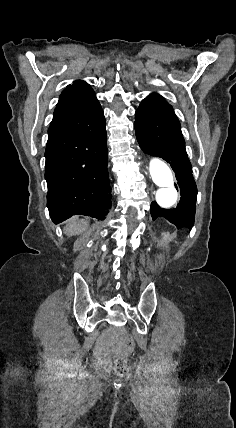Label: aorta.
Segmentation results:
<instances>
[{"mask_svg":"<svg viewBox=\"0 0 236 428\" xmlns=\"http://www.w3.org/2000/svg\"><path fill=\"white\" fill-rule=\"evenodd\" d=\"M149 171L153 182L159 187L156 202L161 208L169 209L176 203L178 197L171 169L164 161L153 158L149 164Z\"/></svg>","mask_w":236,"mask_h":428,"instance_id":"aorta-1","label":"aorta"}]
</instances>
